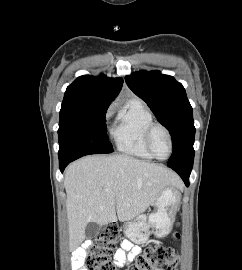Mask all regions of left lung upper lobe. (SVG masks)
Listing matches in <instances>:
<instances>
[{
  "instance_id": "1",
  "label": "left lung upper lobe",
  "mask_w": 242,
  "mask_h": 270,
  "mask_svg": "<svg viewBox=\"0 0 242 270\" xmlns=\"http://www.w3.org/2000/svg\"><path fill=\"white\" fill-rule=\"evenodd\" d=\"M125 80L172 136L173 153L167 165L175 168L192 167L195 127L192 107L182 84L159 71L135 72Z\"/></svg>"
}]
</instances>
